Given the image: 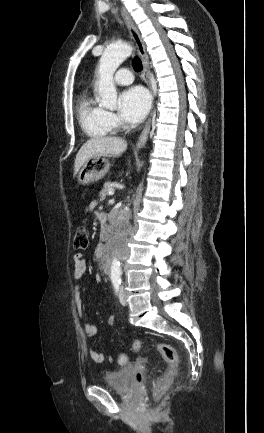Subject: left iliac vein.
<instances>
[{"instance_id": "left-iliac-vein-1", "label": "left iliac vein", "mask_w": 264, "mask_h": 433, "mask_svg": "<svg viewBox=\"0 0 264 433\" xmlns=\"http://www.w3.org/2000/svg\"><path fill=\"white\" fill-rule=\"evenodd\" d=\"M119 300H120V303H121L122 305H125V304H126V297H125V294H124V290H123V288H121V290H120V293H119Z\"/></svg>"}]
</instances>
